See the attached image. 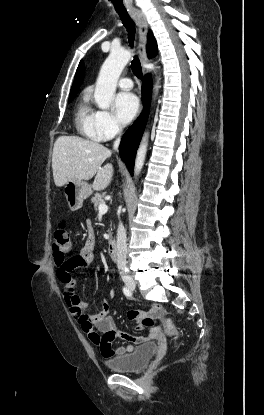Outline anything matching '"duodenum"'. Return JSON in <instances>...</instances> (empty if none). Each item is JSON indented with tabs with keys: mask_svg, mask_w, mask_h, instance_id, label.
Returning a JSON list of instances; mask_svg holds the SVG:
<instances>
[{
	"mask_svg": "<svg viewBox=\"0 0 264 415\" xmlns=\"http://www.w3.org/2000/svg\"><path fill=\"white\" fill-rule=\"evenodd\" d=\"M107 253L111 261H115L117 257V243L113 238L107 240Z\"/></svg>",
	"mask_w": 264,
	"mask_h": 415,
	"instance_id": "duodenum-1",
	"label": "duodenum"
}]
</instances>
